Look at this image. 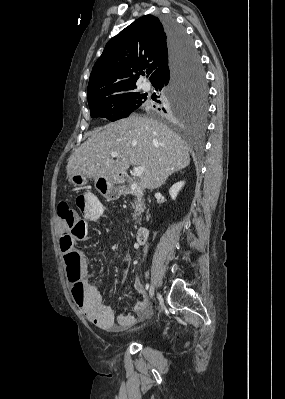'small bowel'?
<instances>
[{"label":"small bowel","instance_id":"small-bowel-1","mask_svg":"<svg viewBox=\"0 0 285 399\" xmlns=\"http://www.w3.org/2000/svg\"><path fill=\"white\" fill-rule=\"evenodd\" d=\"M85 196H87V202L79 220L83 236L88 233V224L100 219L104 211L103 204L94 195L88 194ZM66 268L68 272L74 269L79 272V276L82 278L81 282L84 285V293L76 299L75 289L71 285L70 294L76 305L81 308L85 317L97 327L120 332L138 322L147 320L151 316L152 311L148 307L144 296L133 305L132 314L121 313L116 316L113 309L103 301L101 293L87 279L88 263L82 254L78 255V259L72 264L66 261ZM134 286L143 295L142 283L138 277L134 279Z\"/></svg>","mask_w":285,"mask_h":399}]
</instances>
